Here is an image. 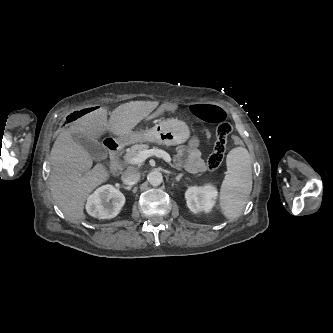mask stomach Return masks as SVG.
I'll use <instances>...</instances> for the list:
<instances>
[{
  "instance_id": "obj_1",
  "label": "stomach",
  "mask_w": 333,
  "mask_h": 333,
  "mask_svg": "<svg viewBox=\"0 0 333 333\" xmlns=\"http://www.w3.org/2000/svg\"><path fill=\"white\" fill-rule=\"evenodd\" d=\"M190 137L189 127L182 121L167 119L143 131L131 132L115 139L117 143L155 142L167 146L186 142Z\"/></svg>"
}]
</instances>
